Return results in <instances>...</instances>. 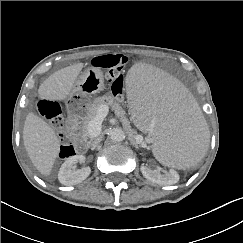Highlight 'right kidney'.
<instances>
[{
	"instance_id": "right-kidney-1",
	"label": "right kidney",
	"mask_w": 243,
	"mask_h": 243,
	"mask_svg": "<svg viewBox=\"0 0 243 243\" xmlns=\"http://www.w3.org/2000/svg\"><path fill=\"white\" fill-rule=\"evenodd\" d=\"M85 156L75 155L69 157L62 165L58 173V180L61 184L69 186L84 181L91 173L90 167L75 169L77 163H84Z\"/></svg>"
}]
</instances>
